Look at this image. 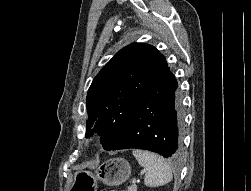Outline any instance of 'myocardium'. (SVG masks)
I'll use <instances>...</instances> for the list:
<instances>
[{
	"mask_svg": "<svg viewBox=\"0 0 251 191\" xmlns=\"http://www.w3.org/2000/svg\"><path fill=\"white\" fill-rule=\"evenodd\" d=\"M84 138L87 142L92 144H97L100 140V136L97 133H88Z\"/></svg>",
	"mask_w": 251,
	"mask_h": 191,
	"instance_id": "obj_1",
	"label": "myocardium"
}]
</instances>
